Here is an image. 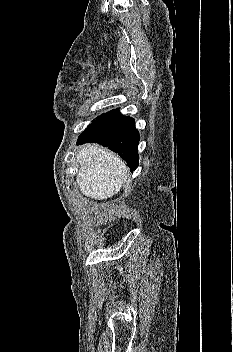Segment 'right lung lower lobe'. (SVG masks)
Listing matches in <instances>:
<instances>
[{"label": "right lung lower lobe", "mask_w": 233, "mask_h": 352, "mask_svg": "<svg viewBox=\"0 0 233 352\" xmlns=\"http://www.w3.org/2000/svg\"><path fill=\"white\" fill-rule=\"evenodd\" d=\"M139 133L135 121L112 110L98 117L78 137L77 144L98 143L123 158L132 171L138 167Z\"/></svg>", "instance_id": "98d812e1"}]
</instances>
